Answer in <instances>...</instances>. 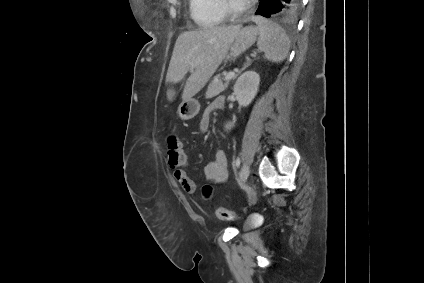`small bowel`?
I'll use <instances>...</instances> for the list:
<instances>
[{"label": "small bowel", "mask_w": 424, "mask_h": 283, "mask_svg": "<svg viewBox=\"0 0 424 283\" xmlns=\"http://www.w3.org/2000/svg\"><path fill=\"white\" fill-rule=\"evenodd\" d=\"M223 101L224 100L222 97H218L213 102H211L210 105L206 108L199 123L200 131L204 132L207 130L209 125L210 113L213 110L220 108L221 103ZM178 152L180 153L183 162L176 166H172L170 161L171 157L170 155H168V164L172 169H174L173 176L178 182V184L181 186V188L184 190V192L188 195H193L197 190V184L188 176V174L183 169V167L187 164V156L182 147H180ZM204 174L207 180L212 181L214 183H222L227 179L228 159L226 153L223 150H217L215 152L214 159L208 162L205 166Z\"/></svg>", "instance_id": "small-bowel-1"}]
</instances>
